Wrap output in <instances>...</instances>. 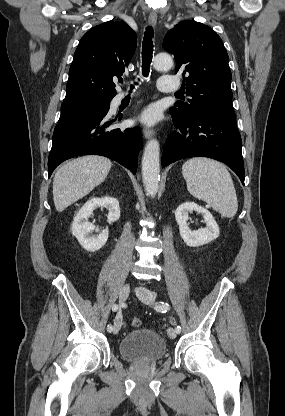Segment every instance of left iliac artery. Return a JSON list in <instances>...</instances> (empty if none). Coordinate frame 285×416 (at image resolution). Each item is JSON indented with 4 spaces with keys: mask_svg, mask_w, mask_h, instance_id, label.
I'll use <instances>...</instances> for the list:
<instances>
[{
    "mask_svg": "<svg viewBox=\"0 0 285 416\" xmlns=\"http://www.w3.org/2000/svg\"><path fill=\"white\" fill-rule=\"evenodd\" d=\"M169 304L168 303H165V302H159V303H157V305L155 306V310H157V311H159V312H161V313H165V312H167L168 310H169ZM175 331L177 332V333H180L181 332V327L178 325V326H176V328H175Z\"/></svg>",
    "mask_w": 285,
    "mask_h": 416,
    "instance_id": "44dca946",
    "label": "left iliac artery"
}]
</instances>
